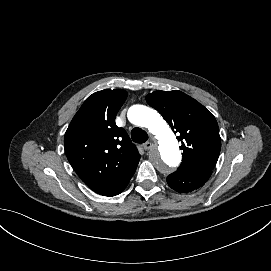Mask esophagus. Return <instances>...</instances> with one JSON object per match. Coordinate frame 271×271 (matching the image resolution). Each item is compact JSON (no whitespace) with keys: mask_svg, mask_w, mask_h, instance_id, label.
<instances>
[{"mask_svg":"<svg viewBox=\"0 0 271 271\" xmlns=\"http://www.w3.org/2000/svg\"><path fill=\"white\" fill-rule=\"evenodd\" d=\"M142 147L148 151L153 149L155 147V144L153 142H146L142 145Z\"/></svg>","mask_w":271,"mask_h":271,"instance_id":"esophagus-1","label":"esophagus"}]
</instances>
